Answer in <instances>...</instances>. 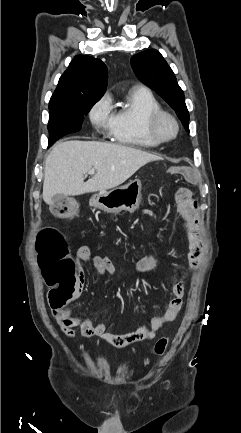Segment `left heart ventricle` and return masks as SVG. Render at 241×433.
I'll list each match as a JSON object with an SVG mask.
<instances>
[{"label":"left heart ventricle","mask_w":241,"mask_h":433,"mask_svg":"<svg viewBox=\"0 0 241 433\" xmlns=\"http://www.w3.org/2000/svg\"><path fill=\"white\" fill-rule=\"evenodd\" d=\"M160 132L164 137H171L174 133V126L169 120H164L160 125Z\"/></svg>","instance_id":"obj_1"}]
</instances>
